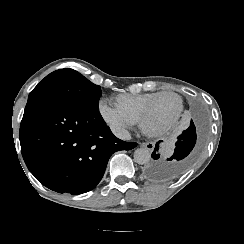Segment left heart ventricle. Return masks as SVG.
<instances>
[{
	"label": "left heart ventricle",
	"mask_w": 244,
	"mask_h": 244,
	"mask_svg": "<svg viewBox=\"0 0 244 244\" xmlns=\"http://www.w3.org/2000/svg\"><path fill=\"white\" fill-rule=\"evenodd\" d=\"M177 105L178 101L174 96L164 95L155 101L154 110L157 115L163 116L164 119H168L177 108Z\"/></svg>",
	"instance_id": "obj_1"
}]
</instances>
